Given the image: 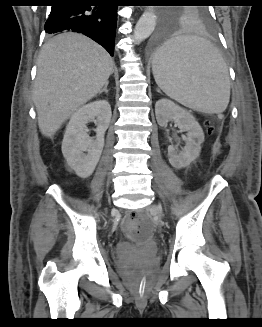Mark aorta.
Returning <instances> with one entry per match:
<instances>
[{
    "label": "aorta",
    "instance_id": "obj_1",
    "mask_svg": "<svg viewBox=\"0 0 262 327\" xmlns=\"http://www.w3.org/2000/svg\"><path fill=\"white\" fill-rule=\"evenodd\" d=\"M156 18L153 8H148L142 14L134 29L133 39L135 42H141L152 34L156 26Z\"/></svg>",
    "mask_w": 262,
    "mask_h": 327
}]
</instances>
